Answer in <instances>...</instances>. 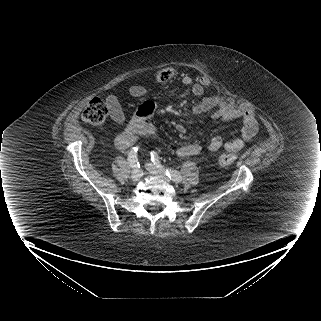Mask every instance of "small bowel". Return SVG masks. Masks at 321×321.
Wrapping results in <instances>:
<instances>
[{"label":"small bowel","mask_w":321,"mask_h":321,"mask_svg":"<svg viewBox=\"0 0 321 321\" xmlns=\"http://www.w3.org/2000/svg\"><path fill=\"white\" fill-rule=\"evenodd\" d=\"M183 83L191 85V90L194 95H201L203 93V86L197 83L192 84L190 77L185 76ZM130 92L133 96L139 97L144 95L145 89L142 86L136 85L131 87ZM106 103L112 120L119 125L125 126L123 131L116 137L115 144L117 148L127 150L137 144L140 136L154 135L156 133V127L150 121V117L154 111L152 102H144L135 116L129 121H126L121 104L115 95H109L106 98ZM220 103L221 101L218 96H208L201 102L193 105L192 112L195 115H200L210 111L212 108L220 105ZM213 118L221 121H241L242 129L239 138L228 141L218 136L211 138L207 147L208 150L212 152L218 151L221 148L231 152H238L258 134V121L254 113L249 109H240L235 106H222L214 111ZM176 128L181 133L185 131L182 124H178ZM200 151L201 147L199 145L188 144L177 148L175 155L177 157H189L197 155Z\"/></svg>","instance_id":"1"}]
</instances>
